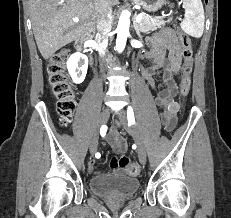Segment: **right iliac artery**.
<instances>
[{"label":"right iliac artery","mask_w":231,"mask_h":218,"mask_svg":"<svg viewBox=\"0 0 231 218\" xmlns=\"http://www.w3.org/2000/svg\"><path fill=\"white\" fill-rule=\"evenodd\" d=\"M106 131H107V127L105 125H103L100 129V134L102 137H104L106 135ZM95 157L96 158H100L101 157V154L100 153H96L95 154Z\"/></svg>","instance_id":"82829eb1"}]
</instances>
